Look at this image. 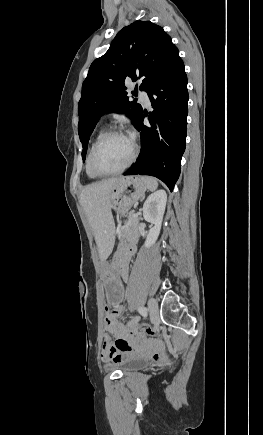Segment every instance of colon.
I'll return each mask as SVG.
<instances>
[{
    "label": "colon",
    "mask_w": 263,
    "mask_h": 435,
    "mask_svg": "<svg viewBox=\"0 0 263 435\" xmlns=\"http://www.w3.org/2000/svg\"><path fill=\"white\" fill-rule=\"evenodd\" d=\"M139 330H140V334L142 335L144 332H147L149 335L155 336L158 332L156 329L151 328L148 324H140L139 325ZM130 341H136V340H132V338L130 339ZM100 343L103 345V348L105 350H110L112 348V343L110 342L109 338L103 337L100 340ZM162 355V354H159Z\"/></svg>",
    "instance_id": "1"
}]
</instances>
